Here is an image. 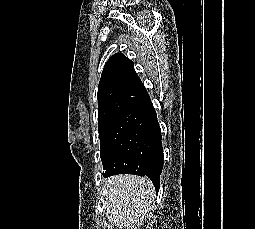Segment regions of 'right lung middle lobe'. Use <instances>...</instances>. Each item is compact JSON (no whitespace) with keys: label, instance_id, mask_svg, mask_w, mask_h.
Segmentation results:
<instances>
[{"label":"right lung middle lobe","instance_id":"1","mask_svg":"<svg viewBox=\"0 0 255 229\" xmlns=\"http://www.w3.org/2000/svg\"><path fill=\"white\" fill-rule=\"evenodd\" d=\"M103 176L145 167L157 139L153 130L126 114L115 116L99 127Z\"/></svg>","mask_w":255,"mask_h":229}]
</instances>
